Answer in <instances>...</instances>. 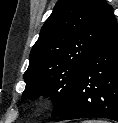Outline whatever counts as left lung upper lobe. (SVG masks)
Wrapping results in <instances>:
<instances>
[{"label": "left lung upper lobe", "mask_w": 118, "mask_h": 123, "mask_svg": "<svg viewBox=\"0 0 118 123\" xmlns=\"http://www.w3.org/2000/svg\"><path fill=\"white\" fill-rule=\"evenodd\" d=\"M116 23L103 0H59L30 52L22 99L52 96L58 117L92 52Z\"/></svg>", "instance_id": "obj_1"}]
</instances>
